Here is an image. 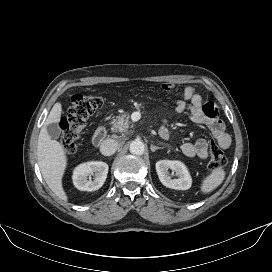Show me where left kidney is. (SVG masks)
<instances>
[{
	"label": "left kidney",
	"instance_id": "obj_1",
	"mask_svg": "<svg viewBox=\"0 0 272 272\" xmlns=\"http://www.w3.org/2000/svg\"><path fill=\"white\" fill-rule=\"evenodd\" d=\"M171 170L177 178L172 179ZM156 172L161 183L171 189L187 190L191 187L192 179L187 167L180 161L160 160L156 163Z\"/></svg>",
	"mask_w": 272,
	"mask_h": 272
}]
</instances>
